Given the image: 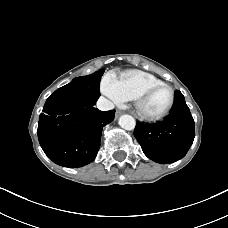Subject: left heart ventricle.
Instances as JSON below:
<instances>
[{
	"label": "left heart ventricle",
	"mask_w": 228,
	"mask_h": 228,
	"mask_svg": "<svg viewBox=\"0 0 228 228\" xmlns=\"http://www.w3.org/2000/svg\"><path fill=\"white\" fill-rule=\"evenodd\" d=\"M169 101L170 90L166 87H160L149 94L143 108L148 113H159L168 105Z\"/></svg>",
	"instance_id": "1"
}]
</instances>
